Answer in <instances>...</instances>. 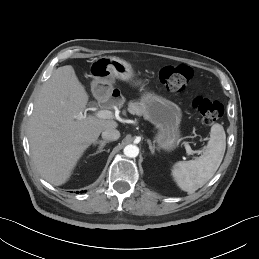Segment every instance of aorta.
Masks as SVG:
<instances>
[{"instance_id": "aorta-1", "label": "aorta", "mask_w": 259, "mask_h": 259, "mask_svg": "<svg viewBox=\"0 0 259 259\" xmlns=\"http://www.w3.org/2000/svg\"><path fill=\"white\" fill-rule=\"evenodd\" d=\"M125 156L130 157V158H135L139 154V148L135 145H127L125 146L123 150Z\"/></svg>"}]
</instances>
